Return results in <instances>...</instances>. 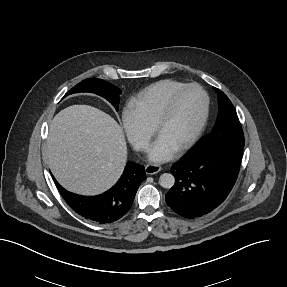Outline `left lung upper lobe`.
<instances>
[{"label": "left lung upper lobe", "instance_id": "left-lung-upper-lobe-1", "mask_svg": "<svg viewBox=\"0 0 287 287\" xmlns=\"http://www.w3.org/2000/svg\"><path fill=\"white\" fill-rule=\"evenodd\" d=\"M218 93L219 112L217 122L212 132L202 141L217 146L222 142L244 144V134L240 125L235 108L228 97L219 89Z\"/></svg>", "mask_w": 287, "mask_h": 287}]
</instances>
